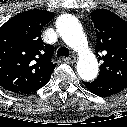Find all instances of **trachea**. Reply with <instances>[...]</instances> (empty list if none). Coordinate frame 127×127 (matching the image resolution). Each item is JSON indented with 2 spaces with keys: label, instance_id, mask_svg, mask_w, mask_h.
Segmentation results:
<instances>
[{
  "label": "trachea",
  "instance_id": "1",
  "mask_svg": "<svg viewBox=\"0 0 127 127\" xmlns=\"http://www.w3.org/2000/svg\"><path fill=\"white\" fill-rule=\"evenodd\" d=\"M68 55H69V50H68V48H66V47H60L59 49H58V51H57V57H68Z\"/></svg>",
  "mask_w": 127,
  "mask_h": 127
}]
</instances>
